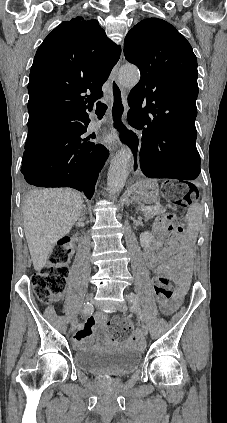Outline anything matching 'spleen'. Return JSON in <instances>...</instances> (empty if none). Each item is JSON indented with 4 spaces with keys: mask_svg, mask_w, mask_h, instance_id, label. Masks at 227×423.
<instances>
[{
    "mask_svg": "<svg viewBox=\"0 0 227 423\" xmlns=\"http://www.w3.org/2000/svg\"><path fill=\"white\" fill-rule=\"evenodd\" d=\"M185 221L188 223L189 227H192V229H199L202 223L201 206H198V204H192L186 213Z\"/></svg>",
    "mask_w": 227,
    "mask_h": 423,
    "instance_id": "1",
    "label": "spleen"
}]
</instances>
